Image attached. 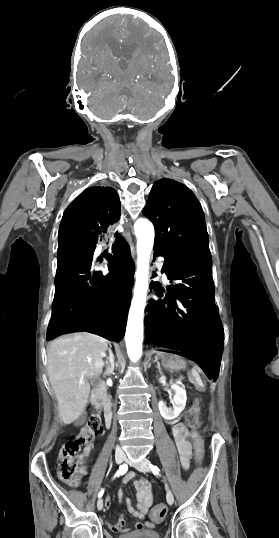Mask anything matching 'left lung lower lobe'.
<instances>
[{
    "label": "left lung lower lobe",
    "instance_id": "0a47b994",
    "mask_svg": "<svg viewBox=\"0 0 279 538\" xmlns=\"http://www.w3.org/2000/svg\"><path fill=\"white\" fill-rule=\"evenodd\" d=\"M155 249V248H154ZM162 256V271L178 281L166 290L159 282L150 287L164 300H151L146 307V341L159 347L181 350L199 361L209 379L218 376L223 351V326L215 306L211 260H180L155 249Z\"/></svg>",
    "mask_w": 279,
    "mask_h": 538
}]
</instances>
